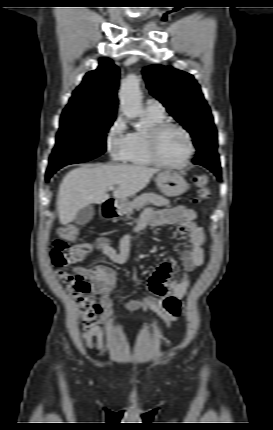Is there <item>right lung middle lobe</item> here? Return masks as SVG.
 I'll use <instances>...</instances> for the list:
<instances>
[{
	"mask_svg": "<svg viewBox=\"0 0 273 430\" xmlns=\"http://www.w3.org/2000/svg\"><path fill=\"white\" fill-rule=\"evenodd\" d=\"M114 120L115 116H92L64 111L47 173H54L63 166L86 162L103 154L106 151V133Z\"/></svg>",
	"mask_w": 273,
	"mask_h": 430,
	"instance_id": "obj_1",
	"label": "right lung middle lobe"
}]
</instances>
